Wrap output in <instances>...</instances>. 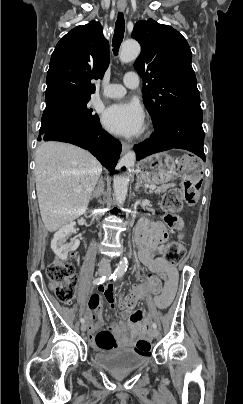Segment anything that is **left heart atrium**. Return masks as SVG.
I'll return each instance as SVG.
<instances>
[{
    "label": "left heart atrium",
    "mask_w": 243,
    "mask_h": 404,
    "mask_svg": "<svg viewBox=\"0 0 243 404\" xmlns=\"http://www.w3.org/2000/svg\"><path fill=\"white\" fill-rule=\"evenodd\" d=\"M101 122L113 134L135 138L145 129V114L136 100H122L104 108Z\"/></svg>",
    "instance_id": "left-heart-atrium-1"
}]
</instances>
